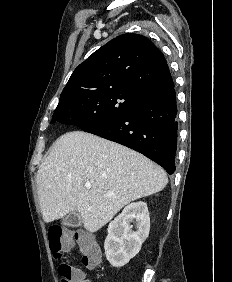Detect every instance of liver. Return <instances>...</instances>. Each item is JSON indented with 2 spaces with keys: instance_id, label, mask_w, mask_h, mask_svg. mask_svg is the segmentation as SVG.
<instances>
[{
  "instance_id": "obj_1",
  "label": "liver",
  "mask_w": 232,
  "mask_h": 282,
  "mask_svg": "<svg viewBox=\"0 0 232 282\" xmlns=\"http://www.w3.org/2000/svg\"><path fill=\"white\" fill-rule=\"evenodd\" d=\"M36 181L46 223L78 210L84 228L96 232L131 201L163 190L168 178L160 166L134 150L70 131L54 142Z\"/></svg>"
}]
</instances>
